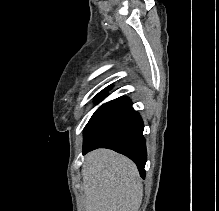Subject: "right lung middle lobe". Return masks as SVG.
<instances>
[{
    "instance_id": "right-lung-middle-lobe-1",
    "label": "right lung middle lobe",
    "mask_w": 219,
    "mask_h": 211,
    "mask_svg": "<svg viewBox=\"0 0 219 211\" xmlns=\"http://www.w3.org/2000/svg\"><path fill=\"white\" fill-rule=\"evenodd\" d=\"M107 93H108V92H100V93L96 96V101H97V102L101 101V100L107 95ZM89 121H90V120H89ZM88 124H89V122H88ZM88 124H87V125H88ZM87 125H86V127H87ZM86 127H85V128H86Z\"/></svg>"
}]
</instances>
